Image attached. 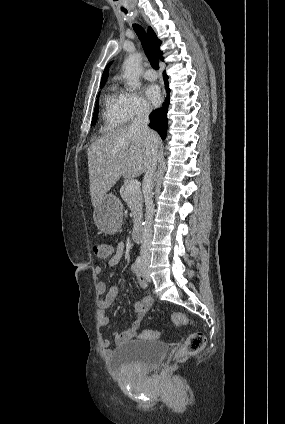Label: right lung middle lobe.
Instances as JSON below:
<instances>
[{
  "instance_id": "dd1d6c3e",
  "label": "right lung middle lobe",
  "mask_w": 285,
  "mask_h": 424,
  "mask_svg": "<svg viewBox=\"0 0 285 424\" xmlns=\"http://www.w3.org/2000/svg\"><path fill=\"white\" fill-rule=\"evenodd\" d=\"M102 87L103 86H101V88ZM97 115H98V99H97V104H96V107H95V111H94V115H93V118H92L91 125H94L96 123V121H97Z\"/></svg>"
}]
</instances>
